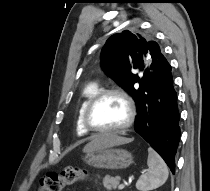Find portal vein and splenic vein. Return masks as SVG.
I'll use <instances>...</instances> for the list:
<instances>
[{"label": "portal vein and splenic vein", "mask_w": 210, "mask_h": 191, "mask_svg": "<svg viewBox=\"0 0 210 191\" xmlns=\"http://www.w3.org/2000/svg\"><path fill=\"white\" fill-rule=\"evenodd\" d=\"M125 184H126V182H124V184H120V185L118 186V189H119V190H123V189L125 188Z\"/></svg>", "instance_id": "portal-vein-and-splenic-vein-1"}]
</instances>
